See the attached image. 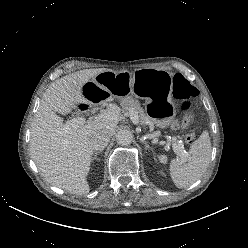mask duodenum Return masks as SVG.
<instances>
[{
    "label": "duodenum",
    "instance_id": "1",
    "mask_svg": "<svg viewBox=\"0 0 248 248\" xmlns=\"http://www.w3.org/2000/svg\"><path fill=\"white\" fill-rule=\"evenodd\" d=\"M79 106L82 111H88L90 109L89 105L87 104H80Z\"/></svg>",
    "mask_w": 248,
    "mask_h": 248
}]
</instances>
